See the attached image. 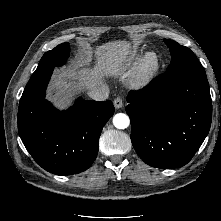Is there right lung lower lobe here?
Wrapping results in <instances>:
<instances>
[{"instance_id":"98d812e1","label":"right lung lower lobe","mask_w":221,"mask_h":221,"mask_svg":"<svg viewBox=\"0 0 221 221\" xmlns=\"http://www.w3.org/2000/svg\"><path fill=\"white\" fill-rule=\"evenodd\" d=\"M54 68L34 72L18 109V131L38 165L56 175H72L88 169L98 153L102 128L114 114L108 101L78 98L66 111L45 100Z\"/></svg>"}]
</instances>
